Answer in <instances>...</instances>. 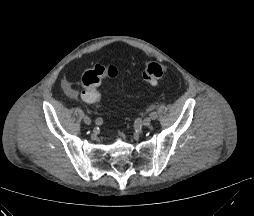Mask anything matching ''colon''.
Listing matches in <instances>:
<instances>
[{"label":"colon","mask_w":254,"mask_h":216,"mask_svg":"<svg viewBox=\"0 0 254 216\" xmlns=\"http://www.w3.org/2000/svg\"><path fill=\"white\" fill-rule=\"evenodd\" d=\"M167 73V67L158 62L150 61L145 64L142 73L143 79L149 85L155 86ZM118 70L115 66L104 67L96 65L86 70L81 76V84L84 89L83 99L87 102H97L101 94L98 86L104 78H116Z\"/></svg>","instance_id":"1"}]
</instances>
